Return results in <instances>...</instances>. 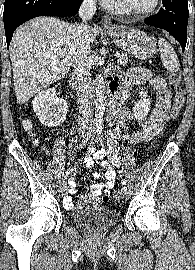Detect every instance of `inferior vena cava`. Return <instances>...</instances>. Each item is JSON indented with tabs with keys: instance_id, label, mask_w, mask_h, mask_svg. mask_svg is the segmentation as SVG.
I'll use <instances>...</instances> for the list:
<instances>
[{
	"instance_id": "602c4592",
	"label": "inferior vena cava",
	"mask_w": 195,
	"mask_h": 270,
	"mask_svg": "<svg viewBox=\"0 0 195 270\" xmlns=\"http://www.w3.org/2000/svg\"><path fill=\"white\" fill-rule=\"evenodd\" d=\"M96 13V0H83L79 16L81 25L75 28L73 33V48L71 64L74 68L80 92V129L92 131L93 116V87L91 80L90 59V25L88 22Z\"/></svg>"
}]
</instances>
